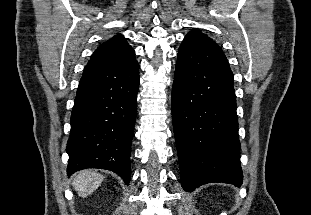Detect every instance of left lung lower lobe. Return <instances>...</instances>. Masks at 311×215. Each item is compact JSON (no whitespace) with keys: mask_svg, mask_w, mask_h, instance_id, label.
<instances>
[{"mask_svg":"<svg viewBox=\"0 0 311 215\" xmlns=\"http://www.w3.org/2000/svg\"><path fill=\"white\" fill-rule=\"evenodd\" d=\"M171 103L183 189L191 192L209 182L240 187L233 73L221 47L206 35L185 36Z\"/></svg>","mask_w":311,"mask_h":215,"instance_id":"0a47b994","label":"left lung lower lobe"}]
</instances>
